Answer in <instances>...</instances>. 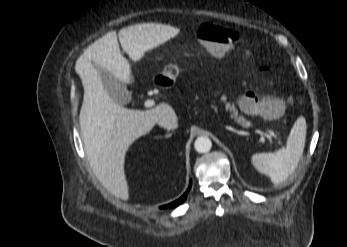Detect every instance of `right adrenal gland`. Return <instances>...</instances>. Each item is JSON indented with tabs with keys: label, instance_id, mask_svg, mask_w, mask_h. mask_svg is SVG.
Wrapping results in <instances>:
<instances>
[{
	"label": "right adrenal gland",
	"instance_id": "obj_1",
	"mask_svg": "<svg viewBox=\"0 0 347 247\" xmlns=\"http://www.w3.org/2000/svg\"><path fill=\"white\" fill-rule=\"evenodd\" d=\"M172 136V133H167L165 136H160L159 138H169Z\"/></svg>",
	"mask_w": 347,
	"mask_h": 247
}]
</instances>
